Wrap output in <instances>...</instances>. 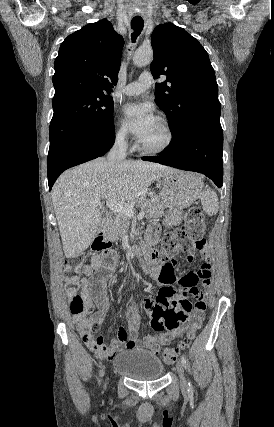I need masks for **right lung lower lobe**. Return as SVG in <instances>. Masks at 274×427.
I'll use <instances>...</instances> for the list:
<instances>
[{"mask_svg": "<svg viewBox=\"0 0 274 427\" xmlns=\"http://www.w3.org/2000/svg\"><path fill=\"white\" fill-rule=\"evenodd\" d=\"M114 140V124L62 131L50 142L47 158L49 189L66 169L108 152Z\"/></svg>", "mask_w": 274, "mask_h": 427, "instance_id": "98d812e1", "label": "right lung lower lobe"}]
</instances>
